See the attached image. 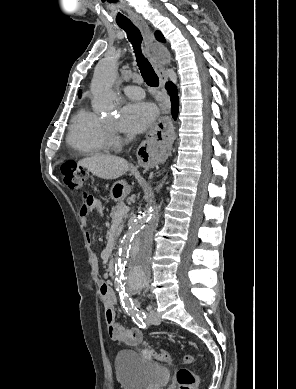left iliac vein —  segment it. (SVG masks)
Returning a JSON list of instances; mask_svg holds the SVG:
<instances>
[{
  "label": "left iliac vein",
  "mask_w": 296,
  "mask_h": 389,
  "mask_svg": "<svg viewBox=\"0 0 296 389\" xmlns=\"http://www.w3.org/2000/svg\"><path fill=\"white\" fill-rule=\"evenodd\" d=\"M148 321L151 323V324H154V325H158L161 323V318L160 316L158 315V313L153 310V309H149V312H148Z\"/></svg>",
  "instance_id": "4c4485c4"
}]
</instances>
